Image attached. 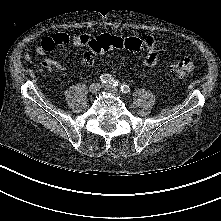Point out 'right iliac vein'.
Here are the masks:
<instances>
[{"mask_svg": "<svg viewBox=\"0 0 221 221\" xmlns=\"http://www.w3.org/2000/svg\"><path fill=\"white\" fill-rule=\"evenodd\" d=\"M100 88H101V85L99 83H93L90 85L89 91L91 93H96L97 91H99Z\"/></svg>", "mask_w": 221, "mask_h": 221, "instance_id": "1", "label": "right iliac vein"}]
</instances>
